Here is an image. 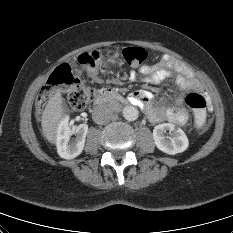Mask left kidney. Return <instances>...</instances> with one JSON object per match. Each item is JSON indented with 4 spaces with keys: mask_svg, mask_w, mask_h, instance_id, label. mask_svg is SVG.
Here are the masks:
<instances>
[{
    "mask_svg": "<svg viewBox=\"0 0 233 233\" xmlns=\"http://www.w3.org/2000/svg\"><path fill=\"white\" fill-rule=\"evenodd\" d=\"M166 131L170 132V137L164 135ZM153 139L156 147L160 151L170 155L184 152L189 145L184 131L171 123H163L155 126L153 129Z\"/></svg>",
    "mask_w": 233,
    "mask_h": 233,
    "instance_id": "obj_1",
    "label": "left kidney"
}]
</instances>
